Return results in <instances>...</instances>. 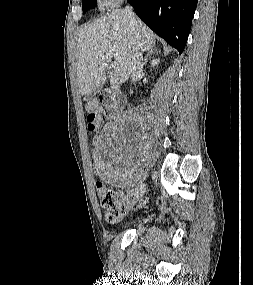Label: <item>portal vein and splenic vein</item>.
Segmentation results:
<instances>
[{
  "label": "portal vein and splenic vein",
  "mask_w": 253,
  "mask_h": 285,
  "mask_svg": "<svg viewBox=\"0 0 253 285\" xmlns=\"http://www.w3.org/2000/svg\"><path fill=\"white\" fill-rule=\"evenodd\" d=\"M115 60L117 61V63L120 62V57L118 55H115Z\"/></svg>",
  "instance_id": "obj_1"
}]
</instances>
